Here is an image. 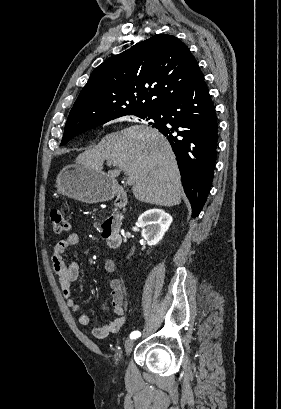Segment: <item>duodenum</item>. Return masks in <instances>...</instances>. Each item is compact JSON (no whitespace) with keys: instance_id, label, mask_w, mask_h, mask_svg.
<instances>
[{"instance_id":"duodenum-1","label":"duodenum","mask_w":281,"mask_h":409,"mask_svg":"<svg viewBox=\"0 0 281 409\" xmlns=\"http://www.w3.org/2000/svg\"><path fill=\"white\" fill-rule=\"evenodd\" d=\"M127 187L115 186L113 202L118 206H122L126 202ZM102 230L108 245L112 249H119L122 245V235L115 225L114 218L106 217L102 222Z\"/></svg>"}]
</instances>
